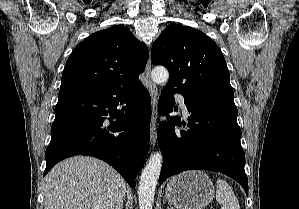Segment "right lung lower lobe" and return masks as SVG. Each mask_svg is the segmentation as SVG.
I'll return each mask as SVG.
<instances>
[{
  "mask_svg": "<svg viewBox=\"0 0 299 209\" xmlns=\"http://www.w3.org/2000/svg\"><path fill=\"white\" fill-rule=\"evenodd\" d=\"M151 97L143 84L59 92L44 176L59 161L89 155L113 166L135 188L150 137Z\"/></svg>",
  "mask_w": 299,
  "mask_h": 209,
  "instance_id": "obj_1",
  "label": "right lung lower lobe"
}]
</instances>
